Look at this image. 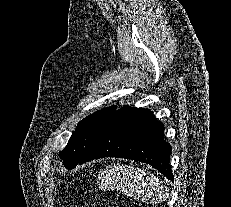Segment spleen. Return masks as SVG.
<instances>
[{
	"instance_id": "spleen-1",
	"label": "spleen",
	"mask_w": 231,
	"mask_h": 207,
	"mask_svg": "<svg viewBox=\"0 0 231 207\" xmlns=\"http://www.w3.org/2000/svg\"><path fill=\"white\" fill-rule=\"evenodd\" d=\"M105 184L142 202H160L167 193L161 181L147 171L130 166H114L107 169Z\"/></svg>"
}]
</instances>
